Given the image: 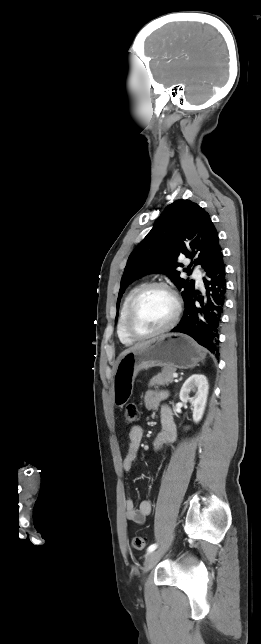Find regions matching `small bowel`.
<instances>
[{
	"mask_svg": "<svg viewBox=\"0 0 261 644\" xmlns=\"http://www.w3.org/2000/svg\"><path fill=\"white\" fill-rule=\"evenodd\" d=\"M166 397L167 393L165 391L158 390H149L144 395V407L146 410L155 411L160 408L162 430L153 439L152 446L155 451L172 445L177 439V427L170 407L167 405L160 406ZM142 437L143 430L140 426L131 427L129 443L123 460V470L125 472H129L137 460ZM150 512L151 503L148 500L141 501L139 506H136L131 498H127L125 501V516L136 524H143Z\"/></svg>",
	"mask_w": 261,
	"mask_h": 644,
	"instance_id": "1",
	"label": "small bowel"
}]
</instances>
